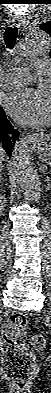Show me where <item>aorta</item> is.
Wrapping results in <instances>:
<instances>
[{"instance_id": "aorta-1", "label": "aorta", "mask_w": 51, "mask_h": 393, "mask_svg": "<svg viewBox=\"0 0 51 393\" xmlns=\"http://www.w3.org/2000/svg\"><path fill=\"white\" fill-rule=\"evenodd\" d=\"M51 47L48 34L42 30L27 33L20 41L19 51L23 57H37L49 53ZM45 141L44 135H31L21 139L12 153V166L16 182L30 199L37 195L36 178L31 161L33 151Z\"/></svg>"}]
</instances>
